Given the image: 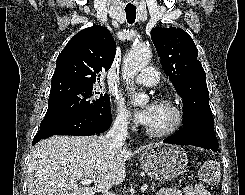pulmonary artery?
I'll list each match as a JSON object with an SVG mask.
<instances>
[{
  "label": "pulmonary artery",
  "instance_id": "e3ab8cb5",
  "mask_svg": "<svg viewBox=\"0 0 245 195\" xmlns=\"http://www.w3.org/2000/svg\"><path fill=\"white\" fill-rule=\"evenodd\" d=\"M134 81L142 86H154L159 81V76L154 67L143 69L134 79Z\"/></svg>",
  "mask_w": 245,
  "mask_h": 195
}]
</instances>
